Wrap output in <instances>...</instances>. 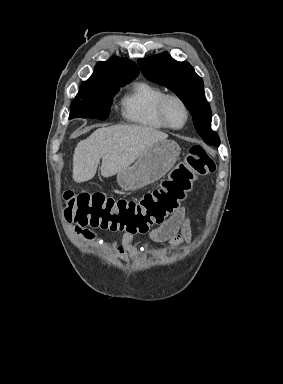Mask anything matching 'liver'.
<instances>
[{"instance_id":"6515ba94","label":"liver","mask_w":283,"mask_h":384,"mask_svg":"<svg viewBox=\"0 0 283 384\" xmlns=\"http://www.w3.org/2000/svg\"><path fill=\"white\" fill-rule=\"evenodd\" d=\"M168 134L152 126H109L99 128L87 140L77 144L73 154V180L94 178L102 158L101 176L110 178L129 168L149 146L166 140Z\"/></svg>"}]
</instances>
